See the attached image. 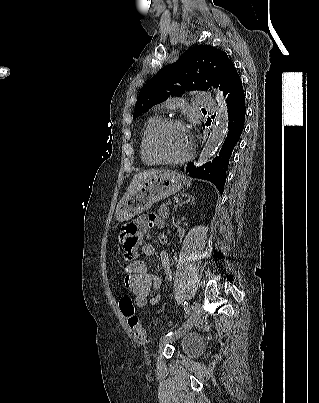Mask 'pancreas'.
<instances>
[{
  "label": "pancreas",
  "mask_w": 319,
  "mask_h": 403,
  "mask_svg": "<svg viewBox=\"0 0 319 403\" xmlns=\"http://www.w3.org/2000/svg\"><path fill=\"white\" fill-rule=\"evenodd\" d=\"M158 213L163 219H167L169 217V214H170L169 206L167 204L161 205V207L158 210Z\"/></svg>",
  "instance_id": "pancreas-1"
}]
</instances>
